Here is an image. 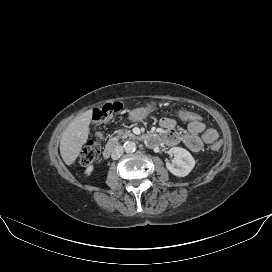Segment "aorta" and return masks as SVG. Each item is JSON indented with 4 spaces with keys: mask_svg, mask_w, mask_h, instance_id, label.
I'll return each mask as SVG.
<instances>
[{
    "mask_svg": "<svg viewBox=\"0 0 272 272\" xmlns=\"http://www.w3.org/2000/svg\"><path fill=\"white\" fill-rule=\"evenodd\" d=\"M124 150L127 153L134 152L136 150V144H135V142H133V141H126L124 143Z\"/></svg>",
    "mask_w": 272,
    "mask_h": 272,
    "instance_id": "762f6f07",
    "label": "aorta"
}]
</instances>
